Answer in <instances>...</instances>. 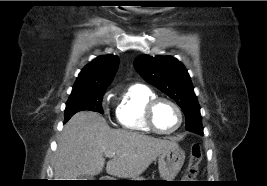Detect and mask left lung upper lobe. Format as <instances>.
Listing matches in <instances>:
<instances>
[{"label":"left lung upper lobe","instance_id":"left-lung-upper-lobe-1","mask_svg":"<svg viewBox=\"0 0 267 186\" xmlns=\"http://www.w3.org/2000/svg\"><path fill=\"white\" fill-rule=\"evenodd\" d=\"M134 67L146 81L166 93L181 107L188 131L203 134L200 107L190 76L181 62L172 56L142 55L134 60Z\"/></svg>","mask_w":267,"mask_h":186}]
</instances>
